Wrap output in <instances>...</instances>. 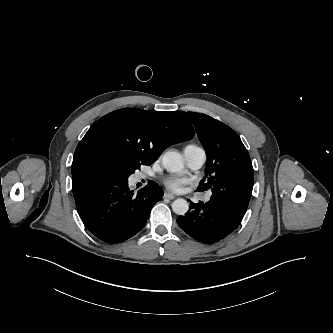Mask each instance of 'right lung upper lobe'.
<instances>
[{"label": "right lung upper lobe", "mask_w": 333, "mask_h": 333, "mask_svg": "<svg viewBox=\"0 0 333 333\" xmlns=\"http://www.w3.org/2000/svg\"><path fill=\"white\" fill-rule=\"evenodd\" d=\"M190 121L179 112L138 108L113 111L96 121L78 144L72 175L87 169L88 160L108 158L123 166L149 165L167 147L194 136Z\"/></svg>", "instance_id": "cb5924a9"}]
</instances>
